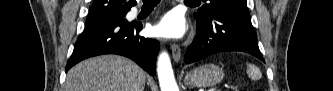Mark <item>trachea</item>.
<instances>
[{
    "mask_svg": "<svg viewBox=\"0 0 333 91\" xmlns=\"http://www.w3.org/2000/svg\"><path fill=\"white\" fill-rule=\"evenodd\" d=\"M193 0H186L185 2H192ZM144 3H154L157 4L160 0H143Z\"/></svg>",
    "mask_w": 333,
    "mask_h": 91,
    "instance_id": "trachea-1",
    "label": "trachea"
}]
</instances>
